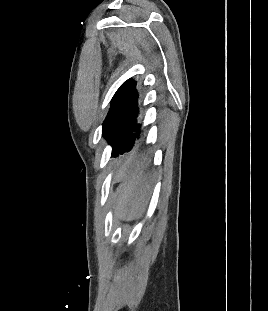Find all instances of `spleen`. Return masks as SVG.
I'll return each instance as SVG.
<instances>
[{"label": "spleen", "instance_id": "spleen-1", "mask_svg": "<svg viewBox=\"0 0 268 311\" xmlns=\"http://www.w3.org/2000/svg\"><path fill=\"white\" fill-rule=\"evenodd\" d=\"M125 161L118 171L117 177L121 183L112 194L111 202L118 218L132 221L139 218L147 206L149 187L144 174H151L152 170L147 169L144 160H137L133 164L126 157Z\"/></svg>", "mask_w": 268, "mask_h": 311}]
</instances>
